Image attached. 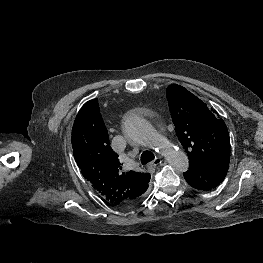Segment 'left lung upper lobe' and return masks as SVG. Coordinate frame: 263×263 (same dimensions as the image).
Listing matches in <instances>:
<instances>
[{
    "instance_id": "1",
    "label": "left lung upper lobe",
    "mask_w": 263,
    "mask_h": 263,
    "mask_svg": "<svg viewBox=\"0 0 263 263\" xmlns=\"http://www.w3.org/2000/svg\"><path fill=\"white\" fill-rule=\"evenodd\" d=\"M166 97L177 137L189 158V165L229 166L230 139L224 121L184 87L172 84Z\"/></svg>"
}]
</instances>
